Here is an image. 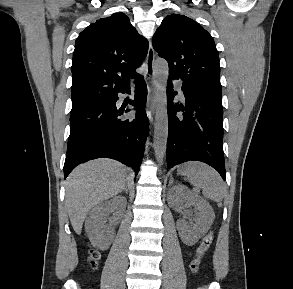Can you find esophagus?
<instances>
[{
  "label": "esophagus",
  "mask_w": 293,
  "mask_h": 289,
  "mask_svg": "<svg viewBox=\"0 0 293 289\" xmlns=\"http://www.w3.org/2000/svg\"><path fill=\"white\" fill-rule=\"evenodd\" d=\"M155 53L151 42H149L148 54L146 58V71L144 74L145 82L147 84L148 96L146 103V113L150 123L153 122V116L157 101V83L155 79L154 68Z\"/></svg>",
  "instance_id": "obj_1"
}]
</instances>
